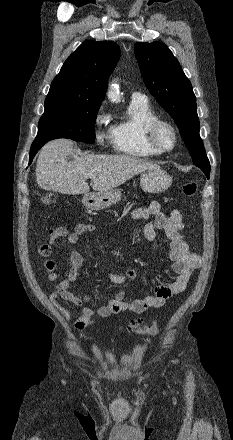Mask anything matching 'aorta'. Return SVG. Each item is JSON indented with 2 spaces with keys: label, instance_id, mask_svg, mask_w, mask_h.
I'll return each mask as SVG.
<instances>
[{
  "label": "aorta",
  "instance_id": "1",
  "mask_svg": "<svg viewBox=\"0 0 233 440\" xmlns=\"http://www.w3.org/2000/svg\"><path fill=\"white\" fill-rule=\"evenodd\" d=\"M108 98L115 102L119 99V92L118 89L116 87H112L109 92H108Z\"/></svg>",
  "mask_w": 233,
  "mask_h": 440
}]
</instances>
